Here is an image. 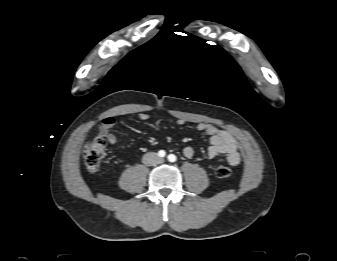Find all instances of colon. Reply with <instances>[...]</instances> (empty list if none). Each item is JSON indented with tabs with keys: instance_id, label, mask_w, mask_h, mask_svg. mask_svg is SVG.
I'll return each instance as SVG.
<instances>
[{
	"instance_id": "5ec220e1",
	"label": "colon",
	"mask_w": 337,
	"mask_h": 261,
	"mask_svg": "<svg viewBox=\"0 0 337 261\" xmlns=\"http://www.w3.org/2000/svg\"><path fill=\"white\" fill-rule=\"evenodd\" d=\"M106 154V141L102 137H97L86 143L83 149V158L87 170L95 173L99 170L101 162ZM215 173L219 178H228L231 169L227 164L217 166Z\"/></svg>"
}]
</instances>
